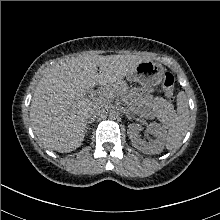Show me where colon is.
<instances>
[{
	"label": "colon",
	"mask_w": 220,
	"mask_h": 220,
	"mask_svg": "<svg viewBox=\"0 0 220 220\" xmlns=\"http://www.w3.org/2000/svg\"><path fill=\"white\" fill-rule=\"evenodd\" d=\"M162 84L167 97L172 99L174 96L175 85L174 76L171 73L166 72L163 76Z\"/></svg>",
	"instance_id": "colon-1"
}]
</instances>
